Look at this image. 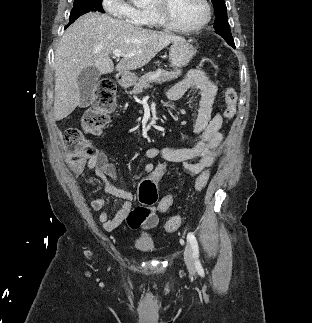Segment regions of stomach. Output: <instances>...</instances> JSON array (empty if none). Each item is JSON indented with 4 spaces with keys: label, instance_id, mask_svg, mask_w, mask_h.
<instances>
[{
    "label": "stomach",
    "instance_id": "obj_1",
    "mask_svg": "<svg viewBox=\"0 0 312 323\" xmlns=\"http://www.w3.org/2000/svg\"><path fill=\"white\" fill-rule=\"evenodd\" d=\"M196 50L193 48L190 42H186L184 38H181L179 42H172L169 50V60L171 66L174 68H184L189 62H191L193 56H195ZM122 80L124 84H129V86H134L138 78L135 74H130V72H125L122 74Z\"/></svg>",
    "mask_w": 312,
    "mask_h": 323
}]
</instances>
